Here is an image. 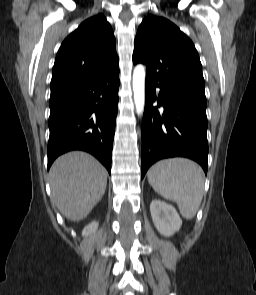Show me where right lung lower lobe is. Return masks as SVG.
Here are the masks:
<instances>
[{
  "label": "right lung lower lobe",
  "mask_w": 256,
  "mask_h": 295,
  "mask_svg": "<svg viewBox=\"0 0 256 295\" xmlns=\"http://www.w3.org/2000/svg\"><path fill=\"white\" fill-rule=\"evenodd\" d=\"M119 69L51 90L48 169L61 154L83 150L111 172Z\"/></svg>",
  "instance_id": "obj_1"
}]
</instances>
